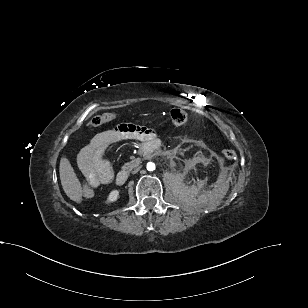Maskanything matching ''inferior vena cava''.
<instances>
[{"instance_id": "obj_1", "label": "inferior vena cava", "mask_w": 308, "mask_h": 308, "mask_svg": "<svg viewBox=\"0 0 308 308\" xmlns=\"http://www.w3.org/2000/svg\"><path fill=\"white\" fill-rule=\"evenodd\" d=\"M138 171H139V168L135 169V170L133 171V174L137 173Z\"/></svg>"}]
</instances>
